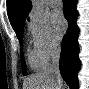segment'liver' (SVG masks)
<instances>
[{
	"instance_id": "liver-1",
	"label": "liver",
	"mask_w": 89,
	"mask_h": 89,
	"mask_svg": "<svg viewBox=\"0 0 89 89\" xmlns=\"http://www.w3.org/2000/svg\"><path fill=\"white\" fill-rule=\"evenodd\" d=\"M57 87H61V80L50 73L31 75L26 79L24 85V89H58Z\"/></svg>"
}]
</instances>
